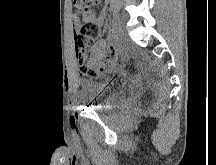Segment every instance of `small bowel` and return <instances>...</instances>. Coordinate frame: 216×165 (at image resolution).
<instances>
[{
    "label": "small bowel",
    "instance_id": "c3829d8e",
    "mask_svg": "<svg viewBox=\"0 0 216 165\" xmlns=\"http://www.w3.org/2000/svg\"><path fill=\"white\" fill-rule=\"evenodd\" d=\"M104 15H105V11L104 10H92L91 12H89L88 16H87V20L90 22H93L95 24H97L98 26L102 25L104 22ZM79 27V21L77 19V17L75 18V23H74V35L77 34V29ZM94 50L97 53H105L108 52L112 55H114V52L111 49H107L105 46V43L103 41H97L94 45ZM83 92H85L87 95H89V90H88V83H85L83 85Z\"/></svg>",
    "mask_w": 216,
    "mask_h": 165
}]
</instances>
